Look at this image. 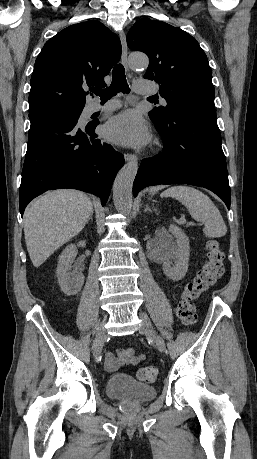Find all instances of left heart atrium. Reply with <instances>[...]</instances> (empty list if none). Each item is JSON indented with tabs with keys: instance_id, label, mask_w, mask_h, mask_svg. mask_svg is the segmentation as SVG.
<instances>
[{
	"instance_id": "left-heart-atrium-1",
	"label": "left heart atrium",
	"mask_w": 257,
	"mask_h": 459,
	"mask_svg": "<svg viewBox=\"0 0 257 459\" xmlns=\"http://www.w3.org/2000/svg\"><path fill=\"white\" fill-rule=\"evenodd\" d=\"M106 137L119 145L138 147L150 140V132L142 116L128 110L111 118L105 125Z\"/></svg>"
}]
</instances>
